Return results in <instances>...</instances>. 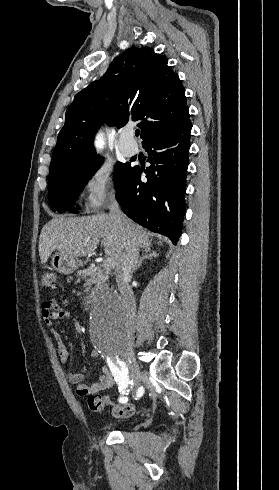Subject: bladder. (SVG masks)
Returning a JSON list of instances; mask_svg holds the SVG:
<instances>
[{
  "mask_svg": "<svg viewBox=\"0 0 279 490\" xmlns=\"http://www.w3.org/2000/svg\"><path fill=\"white\" fill-rule=\"evenodd\" d=\"M126 425L122 421L106 422L103 426V430H116Z\"/></svg>",
  "mask_w": 279,
  "mask_h": 490,
  "instance_id": "obj_1",
  "label": "bladder"
}]
</instances>
